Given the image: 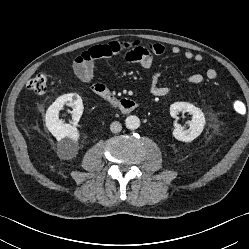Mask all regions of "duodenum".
Wrapping results in <instances>:
<instances>
[{
	"mask_svg": "<svg viewBox=\"0 0 249 249\" xmlns=\"http://www.w3.org/2000/svg\"><path fill=\"white\" fill-rule=\"evenodd\" d=\"M93 92L124 114L131 113L140 106L137 101L128 98H119L107 89L93 88Z\"/></svg>",
	"mask_w": 249,
	"mask_h": 249,
	"instance_id": "duodenum-1",
	"label": "duodenum"
}]
</instances>
